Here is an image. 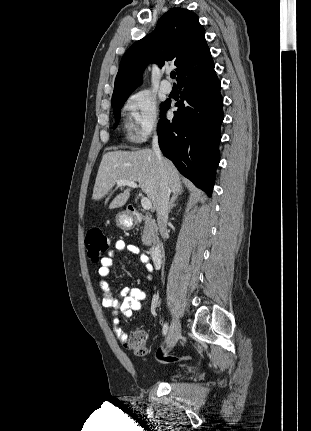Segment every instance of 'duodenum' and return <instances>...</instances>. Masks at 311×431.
<instances>
[{
  "label": "duodenum",
  "mask_w": 311,
  "mask_h": 431,
  "mask_svg": "<svg viewBox=\"0 0 311 431\" xmlns=\"http://www.w3.org/2000/svg\"><path fill=\"white\" fill-rule=\"evenodd\" d=\"M127 214L132 220H140L142 217L140 211L132 205L127 207ZM149 255H150V258H151V260L155 266L160 265L161 247L159 244L156 243L150 247Z\"/></svg>",
  "instance_id": "duodenum-1"
}]
</instances>
